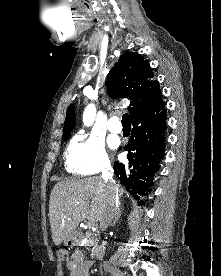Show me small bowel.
Listing matches in <instances>:
<instances>
[{"label": "small bowel", "instance_id": "obj_1", "mask_svg": "<svg viewBox=\"0 0 221 276\" xmlns=\"http://www.w3.org/2000/svg\"><path fill=\"white\" fill-rule=\"evenodd\" d=\"M93 261L84 257L81 251H75L67 262L69 276H89V269Z\"/></svg>", "mask_w": 221, "mask_h": 276}]
</instances>
